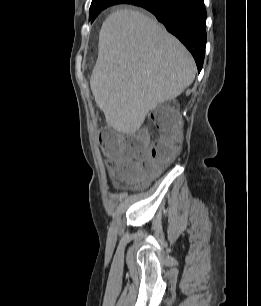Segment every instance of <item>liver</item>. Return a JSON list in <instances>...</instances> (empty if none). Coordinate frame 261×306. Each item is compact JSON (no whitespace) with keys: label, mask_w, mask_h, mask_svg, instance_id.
I'll list each match as a JSON object with an SVG mask.
<instances>
[{"label":"liver","mask_w":261,"mask_h":306,"mask_svg":"<svg viewBox=\"0 0 261 306\" xmlns=\"http://www.w3.org/2000/svg\"><path fill=\"white\" fill-rule=\"evenodd\" d=\"M188 50L157 21L123 9L109 15L99 34L90 87L108 126L133 134L147 114L193 82Z\"/></svg>","instance_id":"liver-1"}]
</instances>
